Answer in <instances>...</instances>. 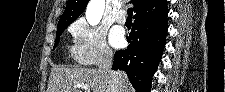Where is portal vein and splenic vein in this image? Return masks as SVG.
Segmentation results:
<instances>
[{"mask_svg": "<svg viewBox=\"0 0 225 92\" xmlns=\"http://www.w3.org/2000/svg\"><path fill=\"white\" fill-rule=\"evenodd\" d=\"M74 88H81L85 89L86 92H90V87L86 84H76L74 85Z\"/></svg>", "mask_w": 225, "mask_h": 92, "instance_id": "obj_1", "label": "portal vein and splenic vein"}]
</instances>
